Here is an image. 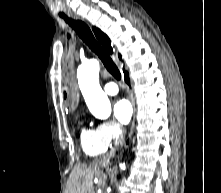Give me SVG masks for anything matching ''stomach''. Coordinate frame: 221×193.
I'll return each mask as SVG.
<instances>
[{
    "mask_svg": "<svg viewBox=\"0 0 221 193\" xmlns=\"http://www.w3.org/2000/svg\"><path fill=\"white\" fill-rule=\"evenodd\" d=\"M78 98H62V103L64 104V109H70L71 111L75 109V107H78Z\"/></svg>",
    "mask_w": 221,
    "mask_h": 193,
    "instance_id": "0dacf381",
    "label": "stomach"
}]
</instances>
